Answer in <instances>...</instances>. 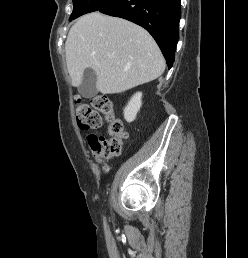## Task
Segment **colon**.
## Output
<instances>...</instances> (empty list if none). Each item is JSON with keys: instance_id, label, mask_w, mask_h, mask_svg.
I'll use <instances>...</instances> for the list:
<instances>
[{"instance_id": "1", "label": "colon", "mask_w": 248, "mask_h": 258, "mask_svg": "<svg viewBox=\"0 0 248 258\" xmlns=\"http://www.w3.org/2000/svg\"><path fill=\"white\" fill-rule=\"evenodd\" d=\"M75 111L77 123L83 129L101 127L102 115L107 121L108 137L89 136V143L96 158L108 159L121 154L127 131L123 123L116 118L114 105L109 99L103 96H95L91 100V105H88L82 102L79 97H76Z\"/></svg>"}]
</instances>
